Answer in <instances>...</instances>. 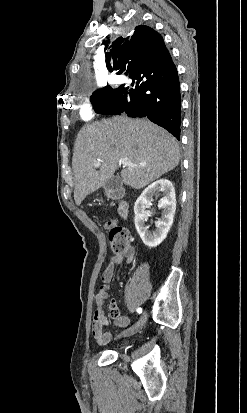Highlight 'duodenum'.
Instances as JSON below:
<instances>
[{
  "instance_id": "duodenum-1",
  "label": "duodenum",
  "mask_w": 247,
  "mask_h": 413,
  "mask_svg": "<svg viewBox=\"0 0 247 413\" xmlns=\"http://www.w3.org/2000/svg\"><path fill=\"white\" fill-rule=\"evenodd\" d=\"M109 197L111 199H118L121 197V192L120 191H110L109 192ZM120 215L121 217L125 218L127 216V205L123 203L120 207Z\"/></svg>"
}]
</instances>
